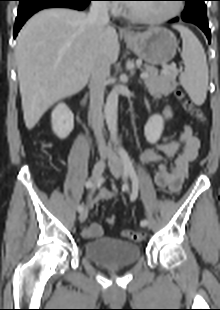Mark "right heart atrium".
<instances>
[{
    "instance_id": "d8ad5b80",
    "label": "right heart atrium",
    "mask_w": 220,
    "mask_h": 310,
    "mask_svg": "<svg viewBox=\"0 0 220 310\" xmlns=\"http://www.w3.org/2000/svg\"><path fill=\"white\" fill-rule=\"evenodd\" d=\"M109 8L112 9V10L116 9L114 5H110Z\"/></svg>"
}]
</instances>
